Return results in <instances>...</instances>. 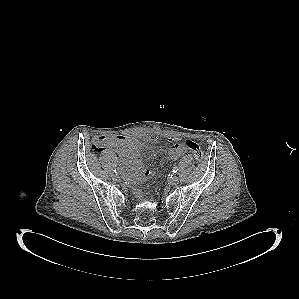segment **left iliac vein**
Returning <instances> with one entry per match:
<instances>
[{"label": "left iliac vein", "instance_id": "obj_1", "mask_svg": "<svg viewBox=\"0 0 299 299\" xmlns=\"http://www.w3.org/2000/svg\"><path fill=\"white\" fill-rule=\"evenodd\" d=\"M179 183V177L178 176H174L171 180H170V184L171 185H177Z\"/></svg>", "mask_w": 299, "mask_h": 299}]
</instances>
